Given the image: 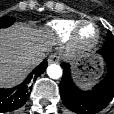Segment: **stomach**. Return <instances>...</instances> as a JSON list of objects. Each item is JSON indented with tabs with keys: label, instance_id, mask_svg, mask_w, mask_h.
I'll list each match as a JSON object with an SVG mask.
<instances>
[{
	"label": "stomach",
	"instance_id": "1",
	"mask_svg": "<svg viewBox=\"0 0 114 114\" xmlns=\"http://www.w3.org/2000/svg\"><path fill=\"white\" fill-rule=\"evenodd\" d=\"M72 65L75 78L80 82L95 81L104 71L103 62L95 56L89 57L86 62H74Z\"/></svg>",
	"mask_w": 114,
	"mask_h": 114
}]
</instances>
